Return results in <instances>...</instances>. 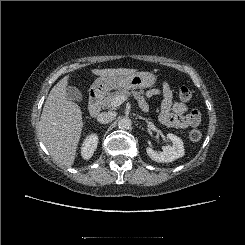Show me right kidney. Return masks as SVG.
I'll return each instance as SVG.
<instances>
[{
    "mask_svg": "<svg viewBox=\"0 0 245 245\" xmlns=\"http://www.w3.org/2000/svg\"><path fill=\"white\" fill-rule=\"evenodd\" d=\"M98 145V136L96 134L89 135L83 142L81 155L84 159H90Z\"/></svg>",
    "mask_w": 245,
    "mask_h": 245,
    "instance_id": "ca27d5eb",
    "label": "right kidney"
}]
</instances>
